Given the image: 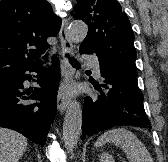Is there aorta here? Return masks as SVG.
I'll list each match as a JSON object with an SVG mask.
<instances>
[{
    "mask_svg": "<svg viewBox=\"0 0 168 162\" xmlns=\"http://www.w3.org/2000/svg\"><path fill=\"white\" fill-rule=\"evenodd\" d=\"M88 32V27L84 22L74 21L69 28V35L73 42L81 43ZM82 109L78 102H72L66 110L63 123V141L67 150L72 151L81 135Z\"/></svg>",
    "mask_w": 168,
    "mask_h": 162,
    "instance_id": "aorta-1",
    "label": "aorta"
}]
</instances>
